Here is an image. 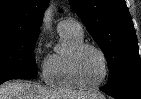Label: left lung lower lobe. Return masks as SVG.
I'll list each match as a JSON object with an SVG mask.
<instances>
[{
	"label": "left lung lower lobe",
	"mask_w": 141,
	"mask_h": 99,
	"mask_svg": "<svg viewBox=\"0 0 141 99\" xmlns=\"http://www.w3.org/2000/svg\"><path fill=\"white\" fill-rule=\"evenodd\" d=\"M101 91L116 99H141V85H120L101 88Z\"/></svg>",
	"instance_id": "1"
}]
</instances>
